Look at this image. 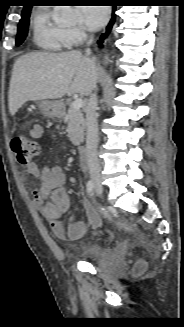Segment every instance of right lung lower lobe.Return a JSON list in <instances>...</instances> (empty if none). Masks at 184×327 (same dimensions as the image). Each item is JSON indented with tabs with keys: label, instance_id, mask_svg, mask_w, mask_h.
Wrapping results in <instances>:
<instances>
[{
	"label": "right lung lower lobe",
	"instance_id": "98d812e1",
	"mask_svg": "<svg viewBox=\"0 0 184 327\" xmlns=\"http://www.w3.org/2000/svg\"><path fill=\"white\" fill-rule=\"evenodd\" d=\"M114 8H115V6H114ZM113 23H114V14H113V17H112V19H111V21H110V23H109V25H108V27H107V31H106V33L103 34V35L101 36L100 40L98 41L99 44H102L104 38L108 35V33H109V31H110V29H111Z\"/></svg>",
	"mask_w": 184,
	"mask_h": 327
}]
</instances>
